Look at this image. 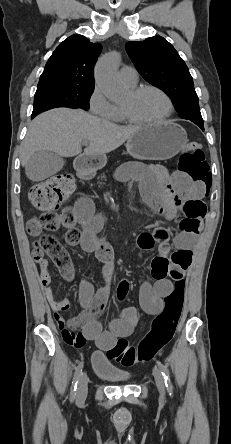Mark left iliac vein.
Instances as JSON below:
<instances>
[{
  "label": "left iliac vein",
  "mask_w": 231,
  "mask_h": 444,
  "mask_svg": "<svg viewBox=\"0 0 231 444\" xmlns=\"http://www.w3.org/2000/svg\"><path fill=\"white\" fill-rule=\"evenodd\" d=\"M153 375H154L155 383H156V386H157L159 392L162 395H164V393H165V383H164V378H163L161 372L157 368H154Z\"/></svg>",
  "instance_id": "1"
}]
</instances>
